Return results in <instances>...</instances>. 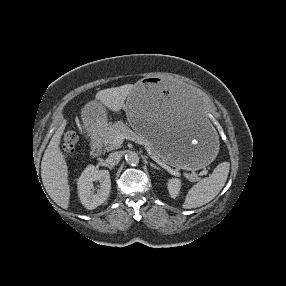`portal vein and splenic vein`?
Segmentation results:
<instances>
[{
  "instance_id": "18ae733b",
  "label": "portal vein and splenic vein",
  "mask_w": 286,
  "mask_h": 286,
  "mask_svg": "<svg viewBox=\"0 0 286 286\" xmlns=\"http://www.w3.org/2000/svg\"><path fill=\"white\" fill-rule=\"evenodd\" d=\"M127 139V140H132L135 141L132 137L126 135V134H118L115 137V142L119 145H121L123 143V141ZM136 143H139L137 141H135ZM140 144V143H139ZM148 155L157 163L159 164L161 167L165 168L169 173L173 174V175H178L179 172L172 169L171 167L167 166L164 162H162L159 158H157L156 156H154L149 150H147ZM201 175H207V171H202Z\"/></svg>"
}]
</instances>
